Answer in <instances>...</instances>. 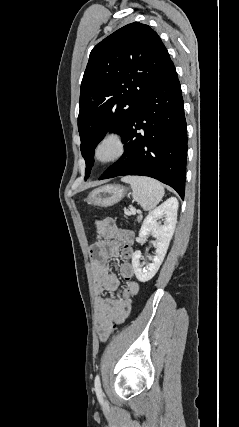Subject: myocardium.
I'll list each match as a JSON object with an SVG mask.
<instances>
[{
  "label": "myocardium",
  "instance_id": "1",
  "mask_svg": "<svg viewBox=\"0 0 239 427\" xmlns=\"http://www.w3.org/2000/svg\"><path fill=\"white\" fill-rule=\"evenodd\" d=\"M107 142H113L116 145L115 154L107 159H102L99 156L100 148ZM127 152V141L125 136L117 131H109L104 133L95 143L93 148L94 160L103 165L113 164L119 161Z\"/></svg>",
  "mask_w": 239,
  "mask_h": 427
}]
</instances>
